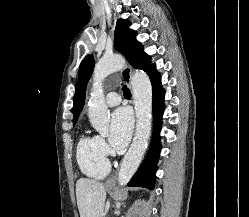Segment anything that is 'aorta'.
I'll use <instances>...</instances> for the list:
<instances>
[{
    "instance_id": "1",
    "label": "aorta",
    "mask_w": 249,
    "mask_h": 217,
    "mask_svg": "<svg viewBox=\"0 0 249 217\" xmlns=\"http://www.w3.org/2000/svg\"><path fill=\"white\" fill-rule=\"evenodd\" d=\"M124 63L125 61L122 57L114 55L102 58L95 65L88 114L91 125L100 133L106 132L109 126V111L105 103L102 83L108 75L122 69ZM131 83L137 119L136 132L120 167L118 174L120 186L126 185L136 172L146 151L151 134V81L145 72L136 71Z\"/></svg>"
}]
</instances>
